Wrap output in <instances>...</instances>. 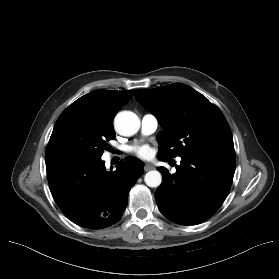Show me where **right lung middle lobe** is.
I'll use <instances>...</instances> for the list:
<instances>
[{
  "instance_id": "dd1d6c3e",
  "label": "right lung middle lobe",
  "mask_w": 279,
  "mask_h": 279,
  "mask_svg": "<svg viewBox=\"0 0 279 279\" xmlns=\"http://www.w3.org/2000/svg\"><path fill=\"white\" fill-rule=\"evenodd\" d=\"M113 129L78 111L63 112L54 126L46 149V165L100 158Z\"/></svg>"
}]
</instances>
